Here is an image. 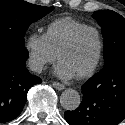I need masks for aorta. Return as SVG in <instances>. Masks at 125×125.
<instances>
[{
	"label": "aorta",
	"instance_id": "aorta-1",
	"mask_svg": "<svg viewBox=\"0 0 125 125\" xmlns=\"http://www.w3.org/2000/svg\"><path fill=\"white\" fill-rule=\"evenodd\" d=\"M61 106L69 111L75 110L81 103L79 93L74 89H66L60 96Z\"/></svg>",
	"mask_w": 125,
	"mask_h": 125
}]
</instances>
